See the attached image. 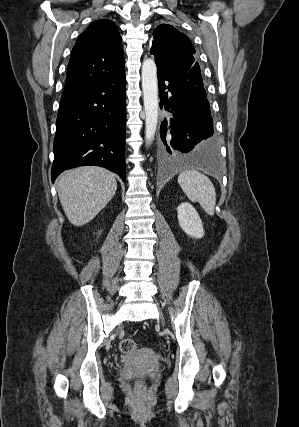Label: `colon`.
Here are the masks:
<instances>
[{
  "instance_id": "colon-1",
  "label": "colon",
  "mask_w": 299,
  "mask_h": 427,
  "mask_svg": "<svg viewBox=\"0 0 299 427\" xmlns=\"http://www.w3.org/2000/svg\"><path fill=\"white\" fill-rule=\"evenodd\" d=\"M119 347H120V350H121L122 353L129 354V353H132V352H134L136 350L137 345H136V342L133 339H131V338H124V339L121 340ZM137 386L139 388H142L143 387V382L139 381L137 383Z\"/></svg>"
}]
</instances>
